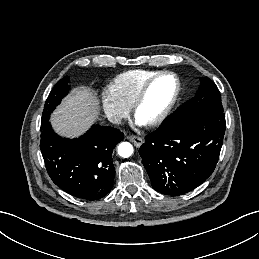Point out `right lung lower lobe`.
<instances>
[{
  "instance_id": "right-lung-lower-lobe-1",
  "label": "right lung lower lobe",
  "mask_w": 259,
  "mask_h": 259,
  "mask_svg": "<svg viewBox=\"0 0 259 259\" xmlns=\"http://www.w3.org/2000/svg\"><path fill=\"white\" fill-rule=\"evenodd\" d=\"M40 149L52 181L68 194L98 200L110 192L115 176L112 153L124 138L116 128L94 125L78 139L56 135L41 125Z\"/></svg>"
}]
</instances>
